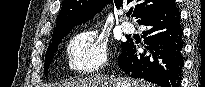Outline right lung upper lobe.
<instances>
[{"instance_id":"1","label":"right lung upper lobe","mask_w":205,"mask_h":87,"mask_svg":"<svg viewBox=\"0 0 205 87\" xmlns=\"http://www.w3.org/2000/svg\"><path fill=\"white\" fill-rule=\"evenodd\" d=\"M168 0H137L134 15L139 22L144 16L164 5ZM112 0H64L52 38L56 39L67 35L74 26H77L103 9L106 3ZM131 0H114L117 9L130 3Z\"/></svg>"}]
</instances>
